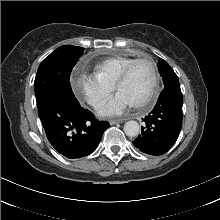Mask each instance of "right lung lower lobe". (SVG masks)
Instances as JSON below:
<instances>
[{"instance_id": "98d812e1", "label": "right lung lower lobe", "mask_w": 220, "mask_h": 220, "mask_svg": "<svg viewBox=\"0 0 220 220\" xmlns=\"http://www.w3.org/2000/svg\"><path fill=\"white\" fill-rule=\"evenodd\" d=\"M46 136L63 156L75 159L91 154L99 145L106 121H98L77 99L58 93L38 106Z\"/></svg>"}]
</instances>
